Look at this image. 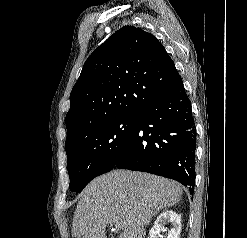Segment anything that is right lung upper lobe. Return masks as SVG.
<instances>
[{
	"label": "right lung upper lobe",
	"mask_w": 247,
	"mask_h": 238,
	"mask_svg": "<svg viewBox=\"0 0 247 238\" xmlns=\"http://www.w3.org/2000/svg\"><path fill=\"white\" fill-rule=\"evenodd\" d=\"M179 77L151 33L122 27L88 57L71 91L65 146L100 123L138 113L167 94Z\"/></svg>",
	"instance_id": "obj_1"
}]
</instances>
